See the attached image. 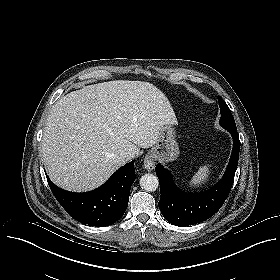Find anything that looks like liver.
I'll list each match as a JSON object with an SVG mask.
<instances>
[{
    "instance_id": "liver-1",
    "label": "liver",
    "mask_w": 280,
    "mask_h": 280,
    "mask_svg": "<svg viewBox=\"0 0 280 280\" xmlns=\"http://www.w3.org/2000/svg\"><path fill=\"white\" fill-rule=\"evenodd\" d=\"M177 119L149 82L114 80L84 86L51 108L41 153L50 179L69 191H90L125 164V152L153 147Z\"/></svg>"
}]
</instances>
